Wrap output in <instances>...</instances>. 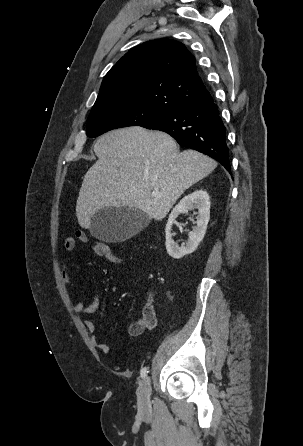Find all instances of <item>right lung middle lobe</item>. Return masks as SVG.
Masks as SVG:
<instances>
[{
  "label": "right lung middle lobe",
  "mask_w": 303,
  "mask_h": 446,
  "mask_svg": "<svg viewBox=\"0 0 303 446\" xmlns=\"http://www.w3.org/2000/svg\"><path fill=\"white\" fill-rule=\"evenodd\" d=\"M167 110L140 103H115L92 108L87 125V135L97 137L113 129L140 126Z\"/></svg>",
  "instance_id": "1"
}]
</instances>
